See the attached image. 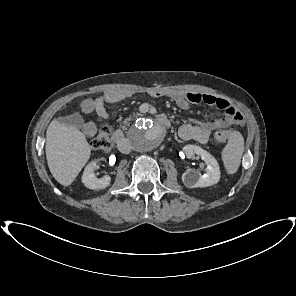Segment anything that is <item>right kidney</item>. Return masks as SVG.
I'll return each instance as SVG.
<instances>
[{"label":"right kidney","mask_w":296,"mask_h":296,"mask_svg":"<svg viewBox=\"0 0 296 296\" xmlns=\"http://www.w3.org/2000/svg\"><path fill=\"white\" fill-rule=\"evenodd\" d=\"M96 161H91L85 167V170L82 175V182L85 187L92 190H100L108 187L110 185L111 177L105 175L101 178L95 176Z\"/></svg>","instance_id":"ca27d5eb"}]
</instances>
